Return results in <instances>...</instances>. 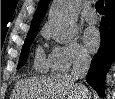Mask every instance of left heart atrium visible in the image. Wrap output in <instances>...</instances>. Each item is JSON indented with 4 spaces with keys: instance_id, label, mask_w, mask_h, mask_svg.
I'll list each match as a JSON object with an SVG mask.
<instances>
[{
    "instance_id": "39dd6f15",
    "label": "left heart atrium",
    "mask_w": 115,
    "mask_h": 99,
    "mask_svg": "<svg viewBox=\"0 0 115 99\" xmlns=\"http://www.w3.org/2000/svg\"><path fill=\"white\" fill-rule=\"evenodd\" d=\"M83 40L89 51H95L100 43V36L96 28L89 27L85 30Z\"/></svg>"
}]
</instances>
